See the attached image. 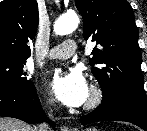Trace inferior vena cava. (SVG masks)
I'll return each mask as SVG.
<instances>
[{
	"mask_svg": "<svg viewBox=\"0 0 147 131\" xmlns=\"http://www.w3.org/2000/svg\"><path fill=\"white\" fill-rule=\"evenodd\" d=\"M50 116V115H49ZM48 124H46L45 122L40 124L35 131H48Z\"/></svg>",
	"mask_w": 147,
	"mask_h": 131,
	"instance_id": "inferior-vena-cava-1",
	"label": "inferior vena cava"
}]
</instances>
